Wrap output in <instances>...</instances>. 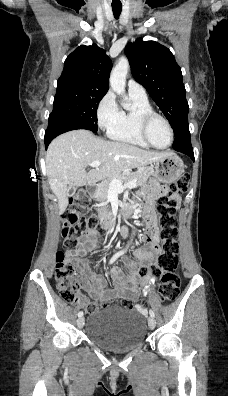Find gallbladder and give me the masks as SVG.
<instances>
[{
	"mask_svg": "<svg viewBox=\"0 0 228 396\" xmlns=\"http://www.w3.org/2000/svg\"><path fill=\"white\" fill-rule=\"evenodd\" d=\"M70 191H71V194H73L76 191V186H71Z\"/></svg>",
	"mask_w": 228,
	"mask_h": 396,
	"instance_id": "1",
	"label": "gallbladder"
}]
</instances>
